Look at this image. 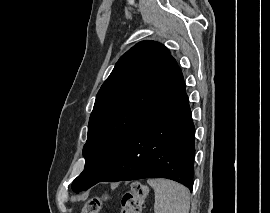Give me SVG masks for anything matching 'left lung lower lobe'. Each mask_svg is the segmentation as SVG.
Returning a JSON list of instances; mask_svg holds the SVG:
<instances>
[{
	"label": "left lung lower lobe",
	"mask_w": 270,
	"mask_h": 213,
	"mask_svg": "<svg viewBox=\"0 0 270 213\" xmlns=\"http://www.w3.org/2000/svg\"><path fill=\"white\" fill-rule=\"evenodd\" d=\"M195 127L183 77L158 103L99 181L167 178L193 188Z\"/></svg>",
	"instance_id": "obj_1"
}]
</instances>
